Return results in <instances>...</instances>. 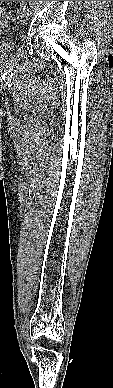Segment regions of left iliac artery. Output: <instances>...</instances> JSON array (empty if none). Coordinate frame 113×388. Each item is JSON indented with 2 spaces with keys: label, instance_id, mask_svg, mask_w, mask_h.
<instances>
[{
  "label": "left iliac artery",
  "instance_id": "44dca946",
  "mask_svg": "<svg viewBox=\"0 0 113 388\" xmlns=\"http://www.w3.org/2000/svg\"><path fill=\"white\" fill-rule=\"evenodd\" d=\"M21 6L23 7L24 10L28 11V16H29V10H28V8H27V6H26L24 1H21Z\"/></svg>",
  "mask_w": 113,
  "mask_h": 388
}]
</instances>
